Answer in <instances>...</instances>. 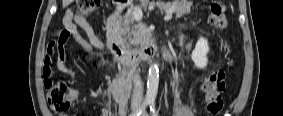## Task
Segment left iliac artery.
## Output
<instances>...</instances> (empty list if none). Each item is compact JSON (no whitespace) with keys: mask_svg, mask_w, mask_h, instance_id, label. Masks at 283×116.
I'll list each match as a JSON object with an SVG mask.
<instances>
[{"mask_svg":"<svg viewBox=\"0 0 283 116\" xmlns=\"http://www.w3.org/2000/svg\"><path fill=\"white\" fill-rule=\"evenodd\" d=\"M150 113L152 114V116H158V112L156 111L154 102L150 103Z\"/></svg>","mask_w":283,"mask_h":116,"instance_id":"obj_1","label":"left iliac artery"}]
</instances>
